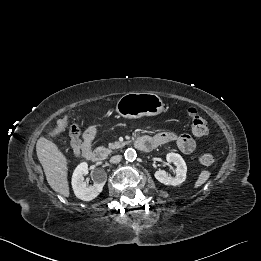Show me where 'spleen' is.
Returning a JSON list of instances; mask_svg holds the SVG:
<instances>
[{"instance_id": "obj_1", "label": "spleen", "mask_w": 261, "mask_h": 261, "mask_svg": "<svg viewBox=\"0 0 261 261\" xmlns=\"http://www.w3.org/2000/svg\"><path fill=\"white\" fill-rule=\"evenodd\" d=\"M211 173L209 171H202L194 185V188L202 186L210 177Z\"/></svg>"}]
</instances>
